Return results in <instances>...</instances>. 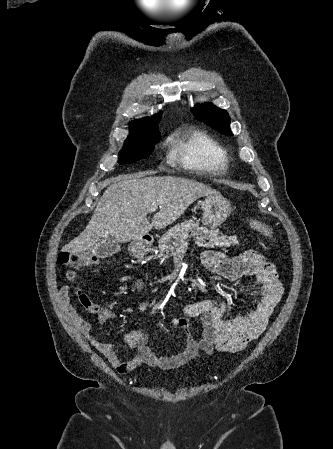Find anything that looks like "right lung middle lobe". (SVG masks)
<instances>
[{
    "label": "right lung middle lobe",
    "mask_w": 333,
    "mask_h": 449,
    "mask_svg": "<svg viewBox=\"0 0 333 449\" xmlns=\"http://www.w3.org/2000/svg\"><path fill=\"white\" fill-rule=\"evenodd\" d=\"M156 121L160 119L155 118ZM158 125L154 120L147 121L141 128L144 137L132 141H125L124 147L119 152V164L133 163L149 156L159 141ZM138 133V131H136Z\"/></svg>",
    "instance_id": "dd1d6c3e"
}]
</instances>
